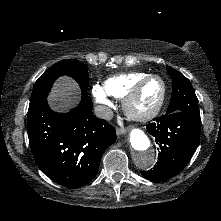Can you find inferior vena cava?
I'll return each instance as SVG.
<instances>
[{
  "label": "inferior vena cava",
  "mask_w": 221,
  "mask_h": 221,
  "mask_svg": "<svg viewBox=\"0 0 221 221\" xmlns=\"http://www.w3.org/2000/svg\"><path fill=\"white\" fill-rule=\"evenodd\" d=\"M94 114L101 119L111 120L113 118V111L104 105H99L94 109Z\"/></svg>",
  "instance_id": "1"
}]
</instances>
